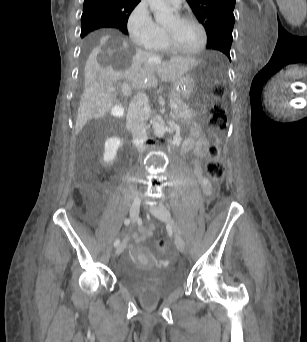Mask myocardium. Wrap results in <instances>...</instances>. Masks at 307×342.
Instances as JSON below:
<instances>
[{"mask_svg": "<svg viewBox=\"0 0 307 342\" xmlns=\"http://www.w3.org/2000/svg\"><path fill=\"white\" fill-rule=\"evenodd\" d=\"M177 19L179 22L192 21V22H195L196 24H198V26L201 28L202 34H203V39H202L200 46L194 50H191V51L181 50V49H178L177 47H175L172 44V42L170 41V39L165 34H163L162 48L167 53L172 54V55H177V56H197V55L201 54L207 48L208 43H209V32H208V28H207L206 24L204 23V21L201 20L200 18H198L197 16L192 15V14L181 15Z\"/></svg>", "mask_w": 307, "mask_h": 342, "instance_id": "obj_1", "label": "myocardium"}]
</instances>
